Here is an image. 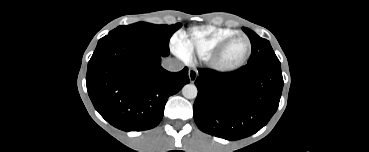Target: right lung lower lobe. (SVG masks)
Masks as SVG:
<instances>
[{
  "label": "right lung lower lobe",
  "instance_id": "1",
  "mask_svg": "<svg viewBox=\"0 0 369 152\" xmlns=\"http://www.w3.org/2000/svg\"><path fill=\"white\" fill-rule=\"evenodd\" d=\"M167 56L134 40H113L96 47L86 85L95 109L114 127L142 131L156 127L168 97L189 83L188 68L168 72Z\"/></svg>",
  "mask_w": 369,
  "mask_h": 152
}]
</instances>
